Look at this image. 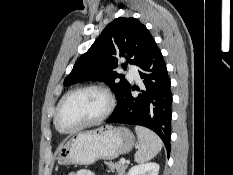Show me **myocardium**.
Segmentation results:
<instances>
[{"instance_id":"f54148a6","label":"myocardium","mask_w":233,"mask_h":175,"mask_svg":"<svg viewBox=\"0 0 233 175\" xmlns=\"http://www.w3.org/2000/svg\"><path fill=\"white\" fill-rule=\"evenodd\" d=\"M86 90H94V91H98L100 92L105 98H106V101H107V105H106V108L103 110V112L98 115L97 117L73 128V129H69V130H64L62 128H60L59 124H58V116H59V111H60V108L62 106V104L64 103V101L70 97L71 95L77 93V92H80V91H86ZM114 107H115V99L112 95V93L104 86L102 85H97V84H90V85H83V86H79V87H76L70 91H68L59 101L56 109H55V113H54V125L56 127V129L61 132V133H65V134H70V133H75L77 131H80L88 126H91V125H94V124H97L103 120H105L111 113L112 111L114 110Z\"/></svg>"}]
</instances>
